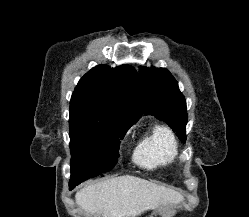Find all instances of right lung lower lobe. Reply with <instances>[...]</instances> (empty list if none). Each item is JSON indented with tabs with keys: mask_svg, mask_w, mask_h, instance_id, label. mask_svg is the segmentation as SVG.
Instances as JSON below:
<instances>
[{
	"mask_svg": "<svg viewBox=\"0 0 249 217\" xmlns=\"http://www.w3.org/2000/svg\"><path fill=\"white\" fill-rule=\"evenodd\" d=\"M75 171H78L79 173L88 171V168L83 165H74L71 164V179L69 182L70 189H73L75 186L83 182L85 179L83 177L75 176ZM104 176V175H100Z\"/></svg>",
	"mask_w": 249,
	"mask_h": 217,
	"instance_id": "obj_1",
	"label": "right lung lower lobe"
}]
</instances>
